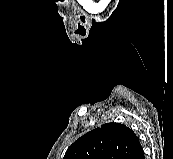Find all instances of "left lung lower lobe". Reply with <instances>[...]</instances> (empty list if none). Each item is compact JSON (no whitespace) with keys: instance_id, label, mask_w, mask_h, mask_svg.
I'll use <instances>...</instances> for the list:
<instances>
[{"instance_id":"1","label":"left lung lower lobe","mask_w":173,"mask_h":159,"mask_svg":"<svg viewBox=\"0 0 173 159\" xmlns=\"http://www.w3.org/2000/svg\"><path fill=\"white\" fill-rule=\"evenodd\" d=\"M134 159H145L143 149H141V150L138 152V154L134 157Z\"/></svg>"}]
</instances>
